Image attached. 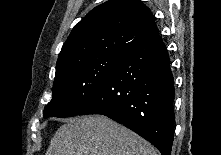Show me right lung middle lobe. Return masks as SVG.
I'll list each match as a JSON object with an SVG mask.
<instances>
[{"instance_id": "right-lung-middle-lobe-1", "label": "right lung middle lobe", "mask_w": 221, "mask_h": 155, "mask_svg": "<svg viewBox=\"0 0 221 155\" xmlns=\"http://www.w3.org/2000/svg\"><path fill=\"white\" fill-rule=\"evenodd\" d=\"M124 56L103 53L73 61L56 72L52 100L44 109V118L78 115Z\"/></svg>"}]
</instances>
